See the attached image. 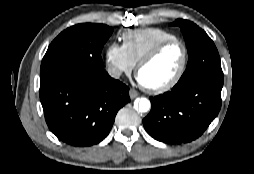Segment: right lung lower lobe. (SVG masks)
<instances>
[{
    "label": "right lung lower lobe",
    "instance_id": "obj_1",
    "mask_svg": "<svg viewBox=\"0 0 254 174\" xmlns=\"http://www.w3.org/2000/svg\"><path fill=\"white\" fill-rule=\"evenodd\" d=\"M46 123L59 140L91 146L110 132L118 110L130 102L129 88L103 70L40 87Z\"/></svg>",
    "mask_w": 254,
    "mask_h": 174
}]
</instances>
